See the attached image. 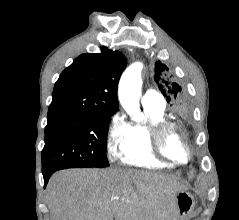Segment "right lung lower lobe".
I'll use <instances>...</instances> for the list:
<instances>
[{
  "mask_svg": "<svg viewBox=\"0 0 239 220\" xmlns=\"http://www.w3.org/2000/svg\"><path fill=\"white\" fill-rule=\"evenodd\" d=\"M52 175V173H50V174H47V175H43V177H44V186H46L47 185V183H48V180H49V178H50V176Z\"/></svg>",
  "mask_w": 239,
  "mask_h": 220,
  "instance_id": "98d812e1",
  "label": "right lung lower lobe"
}]
</instances>
